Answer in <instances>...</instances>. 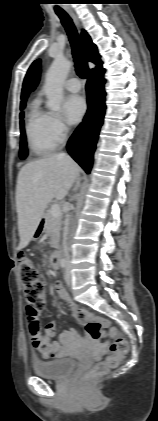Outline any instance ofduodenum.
I'll return each mask as SVG.
<instances>
[{"instance_id":"1","label":"duodenum","mask_w":158,"mask_h":421,"mask_svg":"<svg viewBox=\"0 0 158 421\" xmlns=\"http://www.w3.org/2000/svg\"><path fill=\"white\" fill-rule=\"evenodd\" d=\"M62 261V254L59 251H56L51 256V266L54 269H57Z\"/></svg>"}]
</instances>
